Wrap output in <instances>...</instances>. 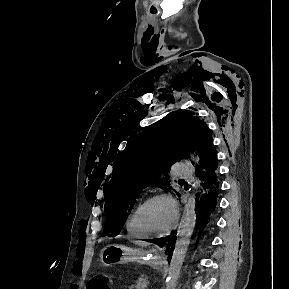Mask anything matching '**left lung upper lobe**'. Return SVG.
I'll list each match as a JSON object with an SVG mask.
<instances>
[{"mask_svg": "<svg viewBox=\"0 0 289 289\" xmlns=\"http://www.w3.org/2000/svg\"><path fill=\"white\" fill-rule=\"evenodd\" d=\"M214 148L206 123L191 111H176L132 137L104 189L106 223L101 236L120 233L142 189L169 187L167 171L186 158L189 149L198 152L201 165Z\"/></svg>", "mask_w": 289, "mask_h": 289, "instance_id": "left-lung-upper-lobe-1", "label": "left lung upper lobe"}]
</instances>
